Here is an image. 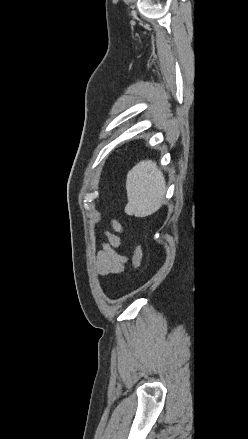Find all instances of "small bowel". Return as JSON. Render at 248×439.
Listing matches in <instances>:
<instances>
[{"instance_id":"obj_1","label":"small bowel","mask_w":248,"mask_h":439,"mask_svg":"<svg viewBox=\"0 0 248 439\" xmlns=\"http://www.w3.org/2000/svg\"><path fill=\"white\" fill-rule=\"evenodd\" d=\"M111 225L114 232L105 231L103 233L105 240L101 243V249L97 252L96 258L97 271L103 276L122 273L128 260L126 256L117 251L124 229L116 220H112Z\"/></svg>"}]
</instances>
